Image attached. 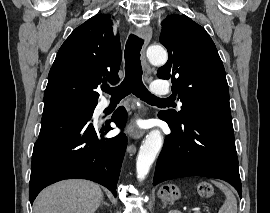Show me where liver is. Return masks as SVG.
Here are the masks:
<instances>
[{"label": "liver", "instance_id": "obj_1", "mask_svg": "<svg viewBox=\"0 0 270 213\" xmlns=\"http://www.w3.org/2000/svg\"><path fill=\"white\" fill-rule=\"evenodd\" d=\"M103 200L100 187L86 180L49 186L35 200L34 213H94Z\"/></svg>", "mask_w": 270, "mask_h": 213}]
</instances>
